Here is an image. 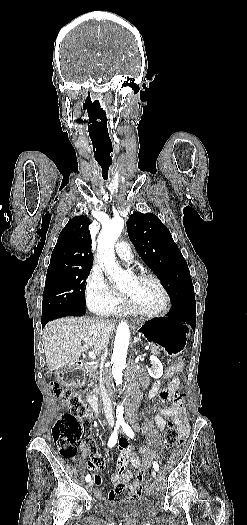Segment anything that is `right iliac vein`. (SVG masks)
I'll return each instance as SVG.
<instances>
[{"mask_svg":"<svg viewBox=\"0 0 247 525\" xmlns=\"http://www.w3.org/2000/svg\"><path fill=\"white\" fill-rule=\"evenodd\" d=\"M92 485H93V481H91V482L89 483V486H92Z\"/></svg>","mask_w":247,"mask_h":525,"instance_id":"obj_1","label":"right iliac vein"}]
</instances>
